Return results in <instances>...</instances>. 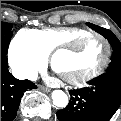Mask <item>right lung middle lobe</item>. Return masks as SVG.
Wrapping results in <instances>:
<instances>
[{
  "label": "right lung middle lobe",
  "instance_id": "right-lung-middle-lobe-1",
  "mask_svg": "<svg viewBox=\"0 0 121 121\" xmlns=\"http://www.w3.org/2000/svg\"><path fill=\"white\" fill-rule=\"evenodd\" d=\"M12 25L1 22V53L7 54L8 46L12 36Z\"/></svg>",
  "mask_w": 121,
  "mask_h": 121
}]
</instances>
